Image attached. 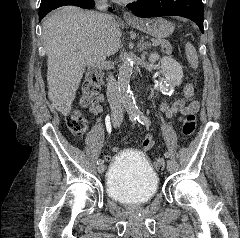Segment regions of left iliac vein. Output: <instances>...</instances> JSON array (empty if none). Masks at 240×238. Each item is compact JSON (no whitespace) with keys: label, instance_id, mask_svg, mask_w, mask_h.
<instances>
[{"label":"left iliac vein","instance_id":"1","mask_svg":"<svg viewBox=\"0 0 240 238\" xmlns=\"http://www.w3.org/2000/svg\"><path fill=\"white\" fill-rule=\"evenodd\" d=\"M173 165L170 160L167 161V170L170 171L172 169Z\"/></svg>","mask_w":240,"mask_h":238}]
</instances>
